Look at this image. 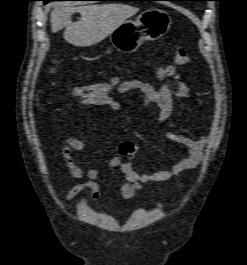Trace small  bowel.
Returning a JSON list of instances; mask_svg holds the SVG:
<instances>
[{
	"label": "small bowel",
	"instance_id": "1",
	"mask_svg": "<svg viewBox=\"0 0 247 265\" xmlns=\"http://www.w3.org/2000/svg\"><path fill=\"white\" fill-rule=\"evenodd\" d=\"M156 77L159 80L167 81L162 86L155 87L146 81L127 80L120 82L115 92L117 94H125L130 91L139 92L143 98L144 106L155 105L159 109L160 120L166 123L173 113V98L191 99L193 94L191 89L180 81V75L172 66L159 67L156 70ZM106 107L114 111L122 109L121 104L114 98H111ZM165 136L170 141L186 149V155L169 170L141 173L132 163L123 161L119 156H113L108 160L106 168H119L124 175L123 179L117 184V189L124 199H133L136 193L143 189L145 183L167 181L184 171L195 168L200 163L204 149L209 142L208 137L193 139L169 130L165 131ZM84 147V142L75 137L66 136L64 138L62 154L65 166L72 178L80 180L78 184L67 192V200L74 199L85 189L89 190L88 199L91 201H96L101 196L98 180L103 176L106 168L96 167L85 170L76 165L72 159L71 152H80Z\"/></svg>",
	"mask_w": 247,
	"mask_h": 265
}]
</instances>
